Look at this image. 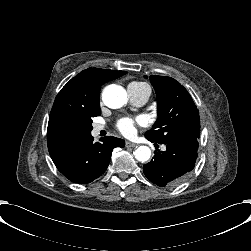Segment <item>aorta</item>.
Segmentation results:
<instances>
[{
  "mask_svg": "<svg viewBox=\"0 0 251 251\" xmlns=\"http://www.w3.org/2000/svg\"><path fill=\"white\" fill-rule=\"evenodd\" d=\"M103 100L108 107L118 109L127 104L129 96L122 86L109 85L103 91ZM134 156L138 161L146 162L151 157V149L148 146H139L135 150Z\"/></svg>",
  "mask_w": 251,
  "mask_h": 251,
  "instance_id": "1",
  "label": "aorta"
}]
</instances>
